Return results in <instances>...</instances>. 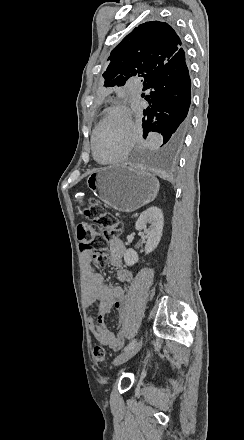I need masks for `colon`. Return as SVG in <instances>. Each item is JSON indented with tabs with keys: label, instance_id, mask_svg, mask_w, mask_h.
Returning <instances> with one entry per match:
<instances>
[{
	"label": "colon",
	"instance_id": "obj_1",
	"mask_svg": "<svg viewBox=\"0 0 244 440\" xmlns=\"http://www.w3.org/2000/svg\"><path fill=\"white\" fill-rule=\"evenodd\" d=\"M83 215L90 222H82L78 225L77 237L81 241L82 251L91 253L95 264L102 265L106 261L105 251L108 246V239L111 238L112 231L121 230L122 223L118 221L113 213H107L102 206L89 200L83 209ZM101 229L105 233H101ZM92 356L96 363H102L106 359L103 345L95 343L92 346Z\"/></svg>",
	"mask_w": 244,
	"mask_h": 440
}]
</instances>
